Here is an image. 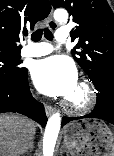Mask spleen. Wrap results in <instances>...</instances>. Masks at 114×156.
Segmentation results:
<instances>
[{"label":"spleen","instance_id":"spleen-1","mask_svg":"<svg viewBox=\"0 0 114 156\" xmlns=\"http://www.w3.org/2000/svg\"><path fill=\"white\" fill-rule=\"evenodd\" d=\"M110 156H114V148H113L112 153L110 154Z\"/></svg>","mask_w":114,"mask_h":156}]
</instances>
